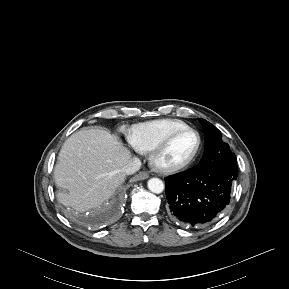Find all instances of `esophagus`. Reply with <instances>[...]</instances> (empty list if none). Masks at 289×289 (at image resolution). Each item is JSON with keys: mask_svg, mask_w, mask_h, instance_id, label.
Masks as SVG:
<instances>
[{"mask_svg": "<svg viewBox=\"0 0 289 289\" xmlns=\"http://www.w3.org/2000/svg\"><path fill=\"white\" fill-rule=\"evenodd\" d=\"M149 178V174L147 172H140L137 175L134 176V181H140V180H145Z\"/></svg>", "mask_w": 289, "mask_h": 289, "instance_id": "34e87169", "label": "esophagus"}]
</instances>
